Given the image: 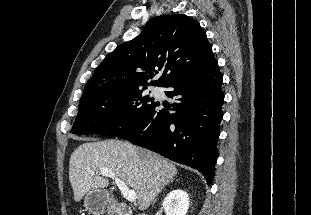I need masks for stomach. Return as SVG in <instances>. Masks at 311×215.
I'll return each mask as SVG.
<instances>
[{
  "label": "stomach",
  "instance_id": "0dacf381",
  "mask_svg": "<svg viewBox=\"0 0 311 215\" xmlns=\"http://www.w3.org/2000/svg\"><path fill=\"white\" fill-rule=\"evenodd\" d=\"M84 206L86 210L93 215H116L117 207L106 190H91L84 198Z\"/></svg>",
  "mask_w": 311,
  "mask_h": 215
}]
</instances>
